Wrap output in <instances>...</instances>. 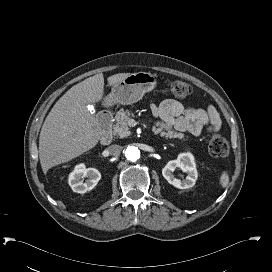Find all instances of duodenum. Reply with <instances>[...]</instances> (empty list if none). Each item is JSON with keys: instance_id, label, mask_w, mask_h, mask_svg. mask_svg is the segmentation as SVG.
I'll return each instance as SVG.
<instances>
[{"instance_id": "1", "label": "duodenum", "mask_w": 272, "mask_h": 272, "mask_svg": "<svg viewBox=\"0 0 272 272\" xmlns=\"http://www.w3.org/2000/svg\"><path fill=\"white\" fill-rule=\"evenodd\" d=\"M98 125L102 131L101 143L109 145L113 140L112 114L108 111L101 112L98 116Z\"/></svg>"}]
</instances>
